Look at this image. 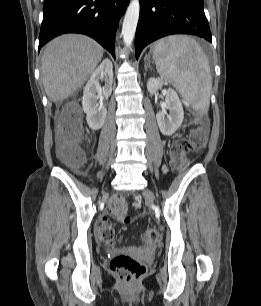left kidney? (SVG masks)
<instances>
[{"label":"left kidney","instance_id":"left-kidney-1","mask_svg":"<svg viewBox=\"0 0 261 306\" xmlns=\"http://www.w3.org/2000/svg\"><path fill=\"white\" fill-rule=\"evenodd\" d=\"M163 86L160 79L151 77L147 82V89L151 94L157 92ZM165 106L156 114L157 123L161 133L170 136L182 125L184 111L178 94L172 88L165 91ZM166 110H169V114Z\"/></svg>","mask_w":261,"mask_h":306}]
</instances>
